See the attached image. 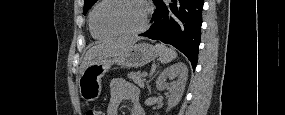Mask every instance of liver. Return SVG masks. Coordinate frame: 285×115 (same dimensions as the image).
<instances>
[{"mask_svg": "<svg viewBox=\"0 0 285 115\" xmlns=\"http://www.w3.org/2000/svg\"><path fill=\"white\" fill-rule=\"evenodd\" d=\"M137 40V38H120L117 40L103 41L92 46L87 51L84 60L81 63V72L93 62L113 58L123 54L133 44H135Z\"/></svg>", "mask_w": 285, "mask_h": 115, "instance_id": "liver-1", "label": "liver"}]
</instances>
